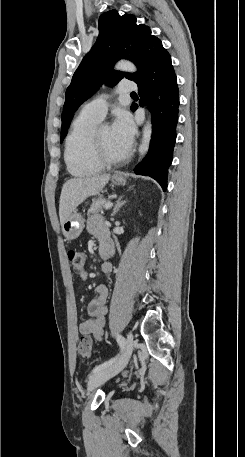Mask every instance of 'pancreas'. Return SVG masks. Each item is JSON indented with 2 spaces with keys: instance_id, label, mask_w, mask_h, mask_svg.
<instances>
[{
  "instance_id": "pancreas-1",
  "label": "pancreas",
  "mask_w": 245,
  "mask_h": 457,
  "mask_svg": "<svg viewBox=\"0 0 245 457\" xmlns=\"http://www.w3.org/2000/svg\"><path fill=\"white\" fill-rule=\"evenodd\" d=\"M106 202H109L108 198H95V200H93L87 214H95V212H101L104 204H106Z\"/></svg>"
}]
</instances>
